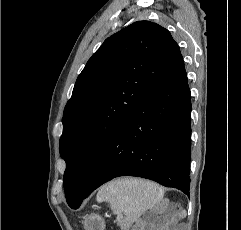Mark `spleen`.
I'll use <instances>...</instances> for the list:
<instances>
[{
  "label": "spleen",
  "instance_id": "spleen-1",
  "mask_svg": "<svg viewBox=\"0 0 241 230\" xmlns=\"http://www.w3.org/2000/svg\"><path fill=\"white\" fill-rule=\"evenodd\" d=\"M163 197V188L154 182L121 178L102 186L97 193V202H108L114 214L125 213L131 224Z\"/></svg>",
  "mask_w": 241,
  "mask_h": 230
}]
</instances>
